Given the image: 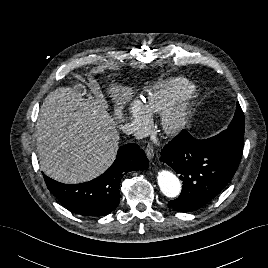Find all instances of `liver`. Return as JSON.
I'll return each mask as SVG.
<instances>
[{"instance_id":"1","label":"liver","mask_w":268,"mask_h":268,"mask_svg":"<svg viewBox=\"0 0 268 268\" xmlns=\"http://www.w3.org/2000/svg\"><path fill=\"white\" fill-rule=\"evenodd\" d=\"M82 86L59 87L45 98L36 124V143L42 171L50 178L76 184L105 172L116 158L117 123L98 99L84 98ZM110 96L119 105L132 95L127 87L114 86Z\"/></svg>"}]
</instances>
